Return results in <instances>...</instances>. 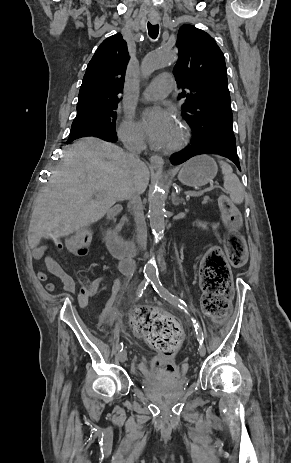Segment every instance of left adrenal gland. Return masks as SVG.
I'll use <instances>...</instances> for the list:
<instances>
[{"instance_id": "obj_1", "label": "left adrenal gland", "mask_w": 291, "mask_h": 463, "mask_svg": "<svg viewBox=\"0 0 291 463\" xmlns=\"http://www.w3.org/2000/svg\"><path fill=\"white\" fill-rule=\"evenodd\" d=\"M182 202V199L177 197L176 193L173 192L172 193V203L175 205V206H178L180 203Z\"/></svg>"}]
</instances>
